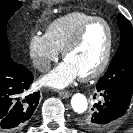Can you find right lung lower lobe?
<instances>
[{"instance_id": "right-lung-lower-lobe-1", "label": "right lung lower lobe", "mask_w": 133, "mask_h": 133, "mask_svg": "<svg viewBox=\"0 0 133 133\" xmlns=\"http://www.w3.org/2000/svg\"><path fill=\"white\" fill-rule=\"evenodd\" d=\"M33 75L12 59L0 62V130H16L24 126L34 113L39 92L27 91Z\"/></svg>"}]
</instances>
